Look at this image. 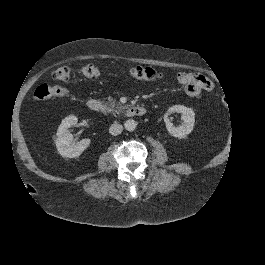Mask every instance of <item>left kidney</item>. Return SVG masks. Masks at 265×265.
Segmentation results:
<instances>
[{"mask_svg":"<svg viewBox=\"0 0 265 265\" xmlns=\"http://www.w3.org/2000/svg\"><path fill=\"white\" fill-rule=\"evenodd\" d=\"M181 113V119L184 123L181 126L175 127L173 123L170 122L168 115L171 113ZM164 122L168 132L177 138H185L193 130L195 123V113L191 108H187L183 105H174L168 109L164 114Z\"/></svg>","mask_w":265,"mask_h":265,"instance_id":"obj_1","label":"left kidney"}]
</instances>
